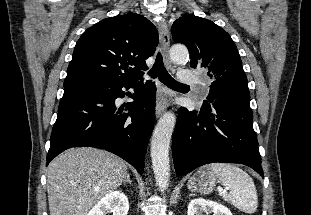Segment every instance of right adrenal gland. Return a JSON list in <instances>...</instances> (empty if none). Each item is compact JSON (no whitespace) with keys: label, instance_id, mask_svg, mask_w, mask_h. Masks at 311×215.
Segmentation results:
<instances>
[{"label":"right adrenal gland","instance_id":"2a0ac1e0","mask_svg":"<svg viewBox=\"0 0 311 215\" xmlns=\"http://www.w3.org/2000/svg\"><path fill=\"white\" fill-rule=\"evenodd\" d=\"M126 183H129L130 185H132V181H131V179H130V175H129V174H128L127 177H126V180H124V185H125Z\"/></svg>","mask_w":311,"mask_h":215}]
</instances>
